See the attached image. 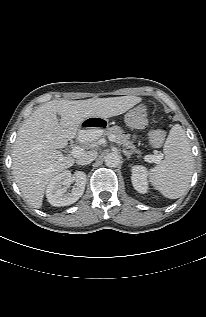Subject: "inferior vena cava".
Segmentation results:
<instances>
[{
	"mask_svg": "<svg viewBox=\"0 0 206 317\" xmlns=\"http://www.w3.org/2000/svg\"><path fill=\"white\" fill-rule=\"evenodd\" d=\"M97 157L96 151H89L86 153H82L77 157L76 163L78 165H87L90 164L92 161H94Z\"/></svg>",
	"mask_w": 206,
	"mask_h": 317,
	"instance_id": "602c4592",
	"label": "inferior vena cava"
}]
</instances>
